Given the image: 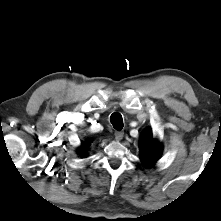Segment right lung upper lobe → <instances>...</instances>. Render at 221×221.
<instances>
[{"instance_id":"obj_1","label":"right lung upper lobe","mask_w":221,"mask_h":221,"mask_svg":"<svg viewBox=\"0 0 221 221\" xmlns=\"http://www.w3.org/2000/svg\"><path fill=\"white\" fill-rule=\"evenodd\" d=\"M84 149H86V146H83L82 149L79 151V153H81V154H85L86 152H85Z\"/></svg>"}]
</instances>
